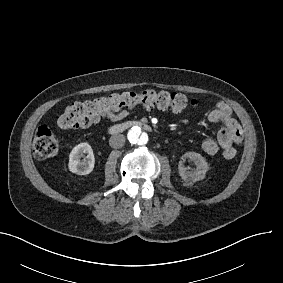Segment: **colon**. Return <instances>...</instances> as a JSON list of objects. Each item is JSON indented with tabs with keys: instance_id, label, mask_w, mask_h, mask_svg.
<instances>
[{
	"instance_id": "colon-1",
	"label": "colon",
	"mask_w": 283,
	"mask_h": 283,
	"mask_svg": "<svg viewBox=\"0 0 283 283\" xmlns=\"http://www.w3.org/2000/svg\"><path fill=\"white\" fill-rule=\"evenodd\" d=\"M138 104L146 108L182 110L196 106V100L183 93L155 90H145L140 93L124 92L97 97L68 105L59 117L58 126L63 129H78L98 121L103 116L131 110ZM32 146L36 158L47 159L58 151L60 142L51 129L42 127L35 133ZM201 147L205 153L210 155H214L220 150V145L212 138L203 139Z\"/></svg>"
}]
</instances>
